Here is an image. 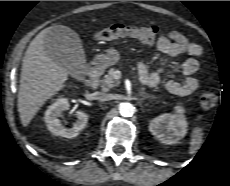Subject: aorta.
<instances>
[{
	"mask_svg": "<svg viewBox=\"0 0 230 186\" xmlns=\"http://www.w3.org/2000/svg\"><path fill=\"white\" fill-rule=\"evenodd\" d=\"M134 106L131 103L125 102L120 104L119 112L124 117H130L134 113Z\"/></svg>",
	"mask_w": 230,
	"mask_h": 186,
	"instance_id": "obj_1",
	"label": "aorta"
}]
</instances>
